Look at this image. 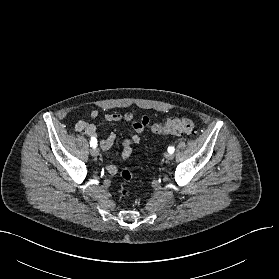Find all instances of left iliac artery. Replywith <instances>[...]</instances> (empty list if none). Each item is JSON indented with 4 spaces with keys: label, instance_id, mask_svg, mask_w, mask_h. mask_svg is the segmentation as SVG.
I'll list each match as a JSON object with an SVG mask.
<instances>
[{
    "label": "left iliac artery",
    "instance_id": "left-iliac-artery-1",
    "mask_svg": "<svg viewBox=\"0 0 279 279\" xmlns=\"http://www.w3.org/2000/svg\"><path fill=\"white\" fill-rule=\"evenodd\" d=\"M174 150H175L174 147H169V148H168V152H169V153H173Z\"/></svg>",
    "mask_w": 279,
    "mask_h": 279
}]
</instances>
